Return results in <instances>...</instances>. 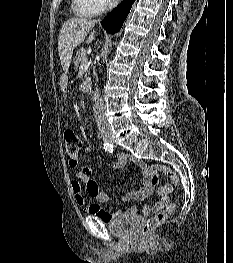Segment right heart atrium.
<instances>
[{
    "mask_svg": "<svg viewBox=\"0 0 233 263\" xmlns=\"http://www.w3.org/2000/svg\"><path fill=\"white\" fill-rule=\"evenodd\" d=\"M119 0H82L84 6L91 14H98L117 5Z\"/></svg>",
    "mask_w": 233,
    "mask_h": 263,
    "instance_id": "obj_1",
    "label": "right heart atrium"
}]
</instances>
